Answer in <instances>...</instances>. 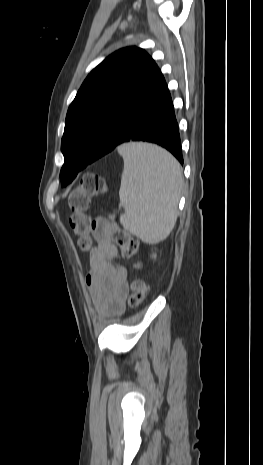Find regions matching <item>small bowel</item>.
Returning <instances> with one entry per match:
<instances>
[{
    "label": "small bowel",
    "mask_w": 263,
    "mask_h": 465,
    "mask_svg": "<svg viewBox=\"0 0 263 465\" xmlns=\"http://www.w3.org/2000/svg\"><path fill=\"white\" fill-rule=\"evenodd\" d=\"M96 246L90 251V271L86 277L92 302L102 317L120 314L128 294L127 273L113 260L117 247L111 242L108 229L99 227L94 233Z\"/></svg>",
    "instance_id": "obj_1"
}]
</instances>
